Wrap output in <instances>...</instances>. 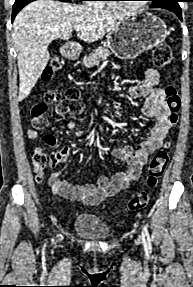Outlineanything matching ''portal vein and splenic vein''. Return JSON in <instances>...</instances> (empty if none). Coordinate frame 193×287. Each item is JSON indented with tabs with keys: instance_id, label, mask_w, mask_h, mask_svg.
<instances>
[{
	"instance_id": "portal-vein-and-splenic-vein-1",
	"label": "portal vein and splenic vein",
	"mask_w": 193,
	"mask_h": 287,
	"mask_svg": "<svg viewBox=\"0 0 193 287\" xmlns=\"http://www.w3.org/2000/svg\"><path fill=\"white\" fill-rule=\"evenodd\" d=\"M84 27H82V26H76L74 29L76 30V31H80V30H82Z\"/></svg>"
}]
</instances>
